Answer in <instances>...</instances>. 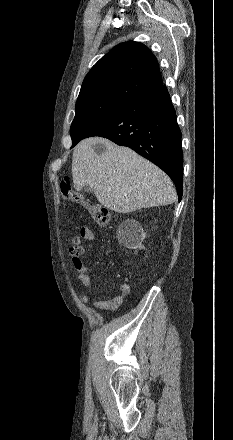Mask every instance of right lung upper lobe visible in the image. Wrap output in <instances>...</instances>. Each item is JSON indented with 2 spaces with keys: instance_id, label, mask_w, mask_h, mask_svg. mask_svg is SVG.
I'll use <instances>...</instances> for the list:
<instances>
[{
  "instance_id": "cb5924a9",
  "label": "right lung upper lobe",
  "mask_w": 233,
  "mask_h": 440,
  "mask_svg": "<svg viewBox=\"0 0 233 440\" xmlns=\"http://www.w3.org/2000/svg\"><path fill=\"white\" fill-rule=\"evenodd\" d=\"M160 85V69L151 51L139 42H124L92 67L83 81L77 102L91 99L128 102Z\"/></svg>"
}]
</instances>
